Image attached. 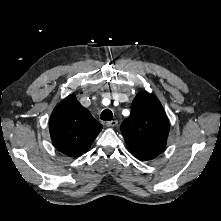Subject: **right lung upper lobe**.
Wrapping results in <instances>:
<instances>
[{"mask_svg":"<svg viewBox=\"0 0 221 221\" xmlns=\"http://www.w3.org/2000/svg\"><path fill=\"white\" fill-rule=\"evenodd\" d=\"M102 128L74 94L55 107L49 121L54 146L71 157L86 152Z\"/></svg>","mask_w":221,"mask_h":221,"instance_id":"cb5924a9","label":"right lung upper lobe"}]
</instances>
